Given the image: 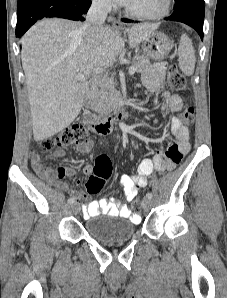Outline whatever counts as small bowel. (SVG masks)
<instances>
[{
    "label": "small bowel",
    "mask_w": 227,
    "mask_h": 298,
    "mask_svg": "<svg viewBox=\"0 0 227 298\" xmlns=\"http://www.w3.org/2000/svg\"><path fill=\"white\" fill-rule=\"evenodd\" d=\"M166 68H171V63L159 62L156 63L153 69L149 72L144 80V84L151 93H158L163 88V80ZM162 110L172 113H178L182 110L183 103L180 96L172 94L168 91H163ZM170 130L176 141L168 146L166 151L162 148L157 150L152 158L143 159L138 166V172L135 175L123 174L119 178V185L124 189V192L129 201H132L138 191L147 185V177L153 170L165 171L173 167H180L181 159L188 153L190 149V133L187 126L176 116L170 119ZM93 148V142H87L77 145V150L81 154H88ZM64 151L54 153L55 157H62ZM31 165L33 169L43 178L55 182L60 188L67 191L78 202H83L87 195L80 191L69 187L68 184L57 181L66 176L71 177L76 175V170L71 166H58L55 168L46 167L41 160V156L34 150L29 153ZM92 166L85 165L83 172L91 174ZM77 184L80 180L77 179ZM83 214L86 219L96 217L101 214L109 216H120L133 221H138L139 216L131 212L130 208L123 204L121 200L116 198H102L92 200L83 204Z\"/></svg>",
    "instance_id": "small-bowel-1"
}]
</instances>
